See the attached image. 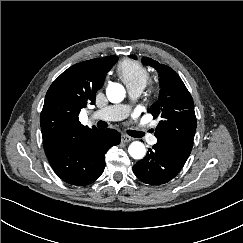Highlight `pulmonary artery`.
Listing matches in <instances>:
<instances>
[{
  "label": "pulmonary artery",
  "mask_w": 243,
  "mask_h": 243,
  "mask_svg": "<svg viewBox=\"0 0 243 243\" xmlns=\"http://www.w3.org/2000/svg\"><path fill=\"white\" fill-rule=\"evenodd\" d=\"M141 92L142 89L137 87L128 88V93L132 100L138 98ZM130 110H131L130 105L116 104V105L107 106L105 108H102L94 112L92 117L94 119H101L105 121H116V120H121L126 118L129 115ZM138 130L143 133V136L150 144L156 143V138L152 134L148 133L147 126L145 124H141Z\"/></svg>",
  "instance_id": "pulmonary-artery-1"
}]
</instances>
